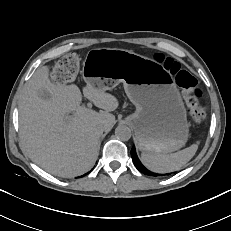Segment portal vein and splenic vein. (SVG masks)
<instances>
[{
    "instance_id": "1",
    "label": "portal vein and splenic vein",
    "mask_w": 231,
    "mask_h": 231,
    "mask_svg": "<svg viewBox=\"0 0 231 231\" xmlns=\"http://www.w3.org/2000/svg\"><path fill=\"white\" fill-rule=\"evenodd\" d=\"M87 106H88L89 108H91V107H92V105H91L90 103H88V104H87Z\"/></svg>"
}]
</instances>
